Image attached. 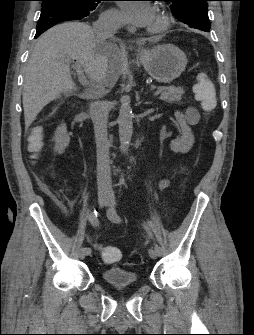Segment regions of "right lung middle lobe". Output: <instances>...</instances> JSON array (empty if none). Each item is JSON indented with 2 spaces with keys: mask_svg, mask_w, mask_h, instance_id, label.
<instances>
[{
  "mask_svg": "<svg viewBox=\"0 0 254 335\" xmlns=\"http://www.w3.org/2000/svg\"><path fill=\"white\" fill-rule=\"evenodd\" d=\"M42 7L50 4H68L79 10L93 11L101 0H41Z\"/></svg>",
  "mask_w": 254,
  "mask_h": 335,
  "instance_id": "right-lung-middle-lobe-1",
  "label": "right lung middle lobe"
}]
</instances>
